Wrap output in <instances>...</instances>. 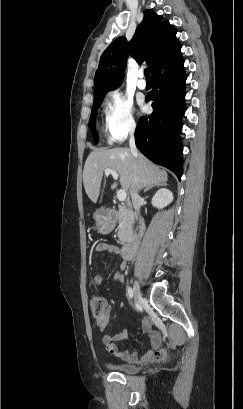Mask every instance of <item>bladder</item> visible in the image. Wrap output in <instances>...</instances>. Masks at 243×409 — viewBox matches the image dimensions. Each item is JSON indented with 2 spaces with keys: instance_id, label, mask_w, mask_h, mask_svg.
<instances>
[{
  "instance_id": "obj_1",
  "label": "bladder",
  "mask_w": 243,
  "mask_h": 409,
  "mask_svg": "<svg viewBox=\"0 0 243 409\" xmlns=\"http://www.w3.org/2000/svg\"><path fill=\"white\" fill-rule=\"evenodd\" d=\"M108 367L115 372H119L125 375H134L139 372V366L127 363H113L108 365Z\"/></svg>"
}]
</instances>
